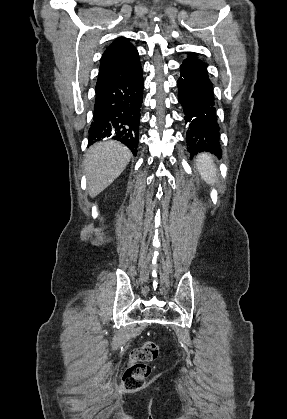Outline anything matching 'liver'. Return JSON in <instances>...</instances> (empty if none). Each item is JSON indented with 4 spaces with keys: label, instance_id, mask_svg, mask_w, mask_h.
Wrapping results in <instances>:
<instances>
[{
    "label": "liver",
    "instance_id": "6515ba94",
    "mask_svg": "<svg viewBox=\"0 0 287 419\" xmlns=\"http://www.w3.org/2000/svg\"><path fill=\"white\" fill-rule=\"evenodd\" d=\"M131 157V151L115 140L91 146L84 162L89 196L93 198L105 190L123 172Z\"/></svg>",
    "mask_w": 287,
    "mask_h": 419
}]
</instances>
